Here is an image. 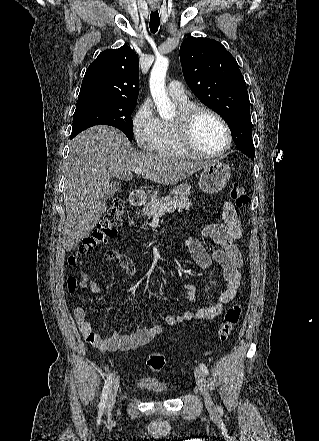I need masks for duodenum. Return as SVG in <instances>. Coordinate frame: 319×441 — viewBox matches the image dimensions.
Here are the masks:
<instances>
[{
	"label": "duodenum",
	"instance_id": "duodenum-1",
	"mask_svg": "<svg viewBox=\"0 0 319 441\" xmlns=\"http://www.w3.org/2000/svg\"><path fill=\"white\" fill-rule=\"evenodd\" d=\"M145 200V194L142 191H133L130 195H129V204L131 206H138L140 204H142Z\"/></svg>",
	"mask_w": 319,
	"mask_h": 441
}]
</instances>
